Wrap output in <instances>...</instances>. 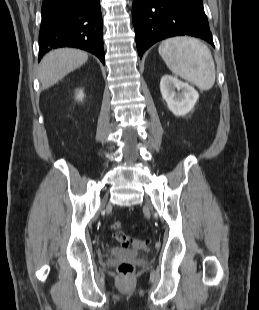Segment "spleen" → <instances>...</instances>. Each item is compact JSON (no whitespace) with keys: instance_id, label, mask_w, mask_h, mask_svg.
Returning <instances> with one entry per match:
<instances>
[{"instance_id":"spleen-1","label":"spleen","mask_w":259,"mask_h":310,"mask_svg":"<svg viewBox=\"0 0 259 310\" xmlns=\"http://www.w3.org/2000/svg\"><path fill=\"white\" fill-rule=\"evenodd\" d=\"M158 51L175 75L204 91L213 87L214 60L209 48L200 40L187 36L166 39Z\"/></svg>"}]
</instances>
